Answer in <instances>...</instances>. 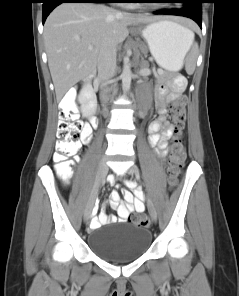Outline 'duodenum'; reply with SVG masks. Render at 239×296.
Wrapping results in <instances>:
<instances>
[{
	"label": "duodenum",
	"instance_id": "duodenum-1",
	"mask_svg": "<svg viewBox=\"0 0 239 296\" xmlns=\"http://www.w3.org/2000/svg\"><path fill=\"white\" fill-rule=\"evenodd\" d=\"M92 79H93V75H89V76L85 79V81H86V82H90ZM91 123H92V125H93L94 127L97 125L96 119H95L94 117L91 118Z\"/></svg>",
	"mask_w": 239,
	"mask_h": 296
}]
</instances>
